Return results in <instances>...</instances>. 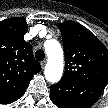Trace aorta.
<instances>
[{
	"label": "aorta",
	"mask_w": 108,
	"mask_h": 108,
	"mask_svg": "<svg viewBox=\"0 0 108 108\" xmlns=\"http://www.w3.org/2000/svg\"><path fill=\"white\" fill-rule=\"evenodd\" d=\"M44 49L48 57L44 76L47 81L57 83L64 70L63 50L60 43L55 39L45 41Z\"/></svg>",
	"instance_id": "obj_1"
}]
</instances>
